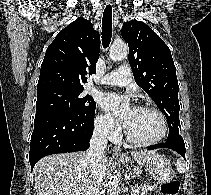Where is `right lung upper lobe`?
<instances>
[{"mask_svg": "<svg viewBox=\"0 0 211 195\" xmlns=\"http://www.w3.org/2000/svg\"><path fill=\"white\" fill-rule=\"evenodd\" d=\"M99 51V33L90 21L77 18L48 46L41 65L38 92L54 88L84 89L86 75L96 69Z\"/></svg>", "mask_w": 211, "mask_h": 195, "instance_id": "right-lung-upper-lobe-1", "label": "right lung upper lobe"}]
</instances>
